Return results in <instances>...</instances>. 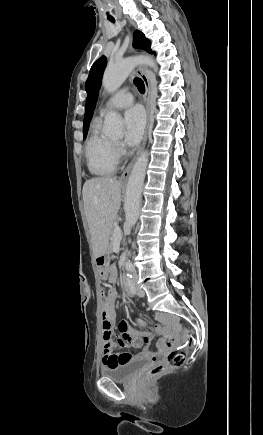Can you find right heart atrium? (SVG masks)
I'll return each instance as SVG.
<instances>
[{
  "instance_id": "d8ad5b80",
  "label": "right heart atrium",
  "mask_w": 263,
  "mask_h": 435,
  "mask_svg": "<svg viewBox=\"0 0 263 435\" xmlns=\"http://www.w3.org/2000/svg\"><path fill=\"white\" fill-rule=\"evenodd\" d=\"M115 149H116L117 156H120L123 153V149H122L121 145L117 144Z\"/></svg>"
}]
</instances>
